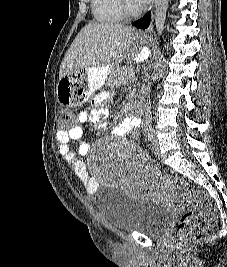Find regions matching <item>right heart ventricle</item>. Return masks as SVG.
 <instances>
[{"instance_id": "1", "label": "right heart ventricle", "mask_w": 227, "mask_h": 267, "mask_svg": "<svg viewBox=\"0 0 227 267\" xmlns=\"http://www.w3.org/2000/svg\"><path fill=\"white\" fill-rule=\"evenodd\" d=\"M91 8L95 19L101 23H116L123 18L116 0H91Z\"/></svg>"}]
</instances>
